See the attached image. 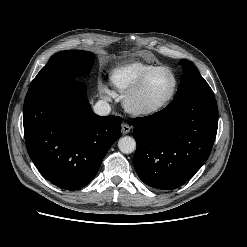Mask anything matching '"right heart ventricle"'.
<instances>
[{
	"instance_id": "obj_1",
	"label": "right heart ventricle",
	"mask_w": 247,
	"mask_h": 247,
	"mask_svg": "<svg viewBox=\"0 0 247 247\" xmlns=\"http://www.w3.org/2000/svg\"><path fill=\"white\" fill-rule=\"evenodd\" d=\"M152 67H154L153 64L144 61H131L120 64L110 71V83L117 91L125 93L143 72Z\"/></svg>"
}]
</instances>
